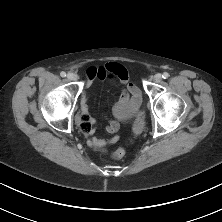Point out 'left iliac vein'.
Segmentation results:
<instances>
[{
    "instance_id": "4c4485c4",
    "label": "left iliac vein",
    "mask_w": 222,
    "mask_h": 222,
    "mask_svg": "<svg viewBox=\"0 0 222 222\" xmlns=\"http://www.w3.org/2000/svg\"><path fill=\"white\" fill-rule=\"evenodd\" d=\"M153 80H154V82H156V83H159L161 80H162V76H161V74H156L154 77H153Z\"/></svg>"
}]
</instances>
